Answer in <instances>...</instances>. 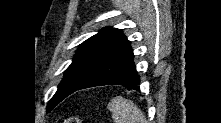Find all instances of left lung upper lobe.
Segmentation results:
<instances>
[{
	"label": "left lung upper lobe",
	"mask_w": 221,
	"mask_h": 123,
	"mask_svg": "<svg viewBox=\"0 0 221 123\" xmlns=\"http://www.w3.org/2000/svg\"><path fill=\"white\" fill-rule=\"evenodd\" d=\"M130 49V42L121 30L114 28H105L84 41L66 69L64 78L48 105V112L100 69Z\"/></svg>",
	"instance_id": "5c2ea615"
}]
</instances>
